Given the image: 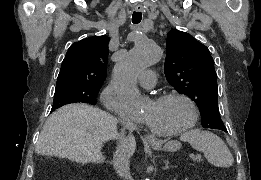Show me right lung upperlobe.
<instances>
[{"mask_svg":"<svg viewBox=\"0 0 261 180\" xmlns=\"http://www.w3.org/2000/svg\"><path fill=\"white\" fill-rule=\"evenodd\" d=\"M108 36H93L75 42L62 62L56 86L102 85L106 79Z\"/></svg>","mask_w":261,"mask_h":180,"instance_id":"right-lung-upper-lobe-1","label":"right lung upper lobe"}]
</instances>
